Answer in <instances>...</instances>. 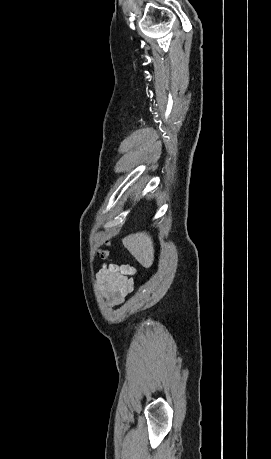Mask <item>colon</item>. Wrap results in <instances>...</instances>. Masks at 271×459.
<instances>
[{
  "label": "colon",
  "instance_id": "obj_1",
  "mask_svg": "<svg viewBox=\"0 0 271 459\" xmlns=\"http://www.w3.org/2000/svg\"><path fill=\"white\" fill-rule=\"evenodd\" d=\"M110 252H109V249H108V244L105 245L104 248H102L98 255L101 257V258H107L109 256Z\"/></svg>",
  "mask_w": 271,
  "mask_h": 459
}]
</instances>
